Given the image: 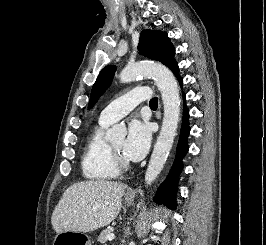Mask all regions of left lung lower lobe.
Returning <instances> with one entry per match:
<instances>
[{"label":"left lung lower lobe","instance_id":"left-lung-lower-lobe-1","mask_svg":"<svg viewBox=\"0 0 266 245\" xmlns=\"http://www.w3.org/2000/svg\"><path fill=\"white\" fill-rule=\"evenodd\" d=\"M170 70L175 74L177 77L180 85L183 84L182 78L178 74V64L175 63ZM183 99L185 101V94H183ZM189 111L186 107L183 109V121L182 127L180 130V138L176 150V158L174 161V165L165 180V182L159 187L156 196L154 197V201L159 204H164L170 209H174L176 206L175 195L177 191V181H178V174L180 170L183 168L182 165V158L188 152V145H187V137L190 132L189 127Z\"/></svg>","mask_w":266,"mask_h":245}]
</instances>
